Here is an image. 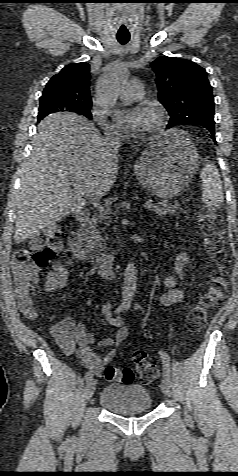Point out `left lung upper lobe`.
<instances>
[{
	"label": "left lung upper lobe",
	"mask_w": 238,
	"mask_h": 476,
	"mask_svg": "<svg viewBox=\"0 0 238 476\" xmlns=\"http://www.w3.org/2000/svg\"><path fill=\"white\" fill-rule=\"evenodd\" d=\"M156 73L158 98L167 109V128L179 124L214 122V99L207 72L196 63L161 56L151 63Z\"/></svg>",
	"instance_id": "5c2ea615"
}]
</instances>
